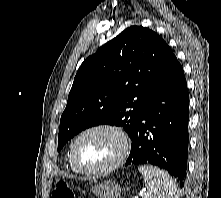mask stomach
Listing matches in <instances>:
<instances>
[{"mask_svg": "<svg viewBox=\"0 0 221 198\" xmlns=\"http://www.w3.org/2000/svg\"><path fill=\"white\" fill-rule=\"evenodd\" d=\"M92 192L98 198H118L122 193V188L113 181H104L93 186Z\"/></svg>", "mask_w": 221, "mask_h": 198, "instance_id": "0dacf381", "label": "stomach"}]
</instances>
